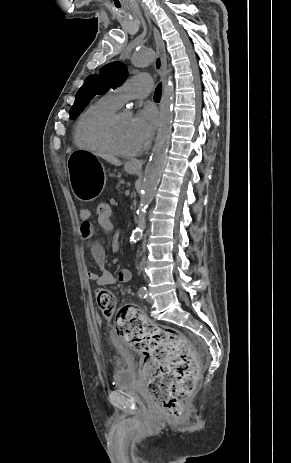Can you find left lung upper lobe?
<instances>
[{
  "label": "left lung upper lobe",
  "instance_id": "1",
  "mask_svg": "<svg viewBox=\"0 0 291 463\" xmlns=\"http://www.w3.org/2000/svg\"><path fill=\"white\" fill-rule=\"evenodd\" d=\"M126 73V67L121 62H112L103 66L99 74L88 76L76 94L70 118H76L96 95L121 85L126 79Z\"/></svg>",
  "mask_w": 291,
  "mask_h": 463
}]
</instances>
